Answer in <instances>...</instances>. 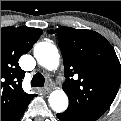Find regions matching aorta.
<instances>
[{
  "instance_id": "1",
  "label": "aorta",
  "mask_w": 121,
  "mask_h": 121,
  "mask_svg": "<svg viewBox=\"0 0 121 121\" xmlns=\"http://www.w3.org/2000/svg\"><path fill=\"white\" fill-rule=\"evenodd\" d=\"M34 57L37 62L48 70L57 69L60 61L58 49L48 42H39L34 47ZM49 104L55 112L61 113L68 107V97L62 90H55L49 96Z\"/></svg>"
}]
</instances>
